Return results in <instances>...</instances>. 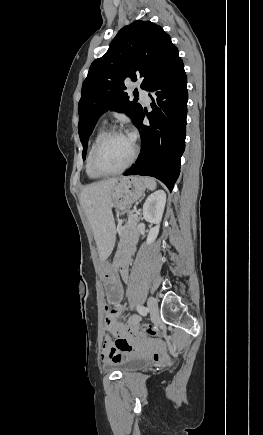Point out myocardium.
<instances>
[{"label":"myocardium","instance_id":"obj_1","mask_svg":"<svg viewBox=\"0 0 263 435\" xmlns=\"http://www.w3.org/2000/svg\"><path fill=\"white\" fill-rule=\"evenodd\" d=\"M115 135H124L127 136L125 134V132L119 128H111L109 130L104 131V133L97 139V141L94 143L92 150H91V154H90V165L91 168L93 169L94 172H96L97 174L101 175V176H110V175H116V174H120L122 172H124L125 170H127L135 161L137 154H138V147L137 145L133 142V151L132 154L130 156V158L128 159V161L120 168L115 169V170H104L102 169L96 161V155L97 152L100 148V146L110 137L115 136Z\"/></svg>","mask_w":263,"mask_h":435}]
</instances>
